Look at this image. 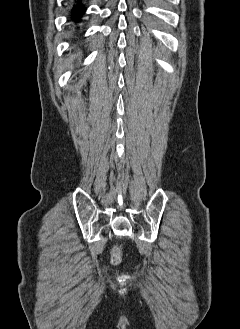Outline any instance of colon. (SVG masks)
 Here are the masks:
<instances>
[{
	"mask_svg": "<svg viewBox=\"0 0 240 329\" xmlns=\"http://www.w3.org/2000/svg\"><path fill=\"white\" fill-rule=\"evenodd\" d=\"M122 261L121 249L118 245H115L112 249L111 262L113 265H118Z\"/></svg>",
	"mask_w": 240,
	"mask_h": 329,
	"instance_id": "1",
	"label": "colon"
}]
</instances>
